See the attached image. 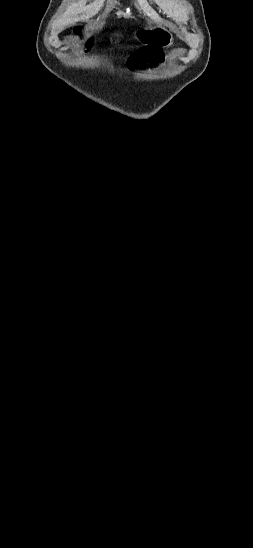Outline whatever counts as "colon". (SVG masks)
<instances>
[{"mask_svg": "<svg viewBox=\"0 0 253 548\" xmlns=\"http://www.w3.org/2000/svg\"><path fill=\"white\" fill-rule=\"evenodd\" d=\"M151 56L154 59H158V58H160L161 53L158 50H154L152 52L136 51V52L131 54L130 62L133 66H140L144 63V61L147 57H151ZM149 68L150 69H155L156 68V63L155 62H150L149 63Z\"/></svg>", "mask_w": 253, "mask_h": 548, "instance_id": "5ec220e1", "label": "colon"}]
</instances>
